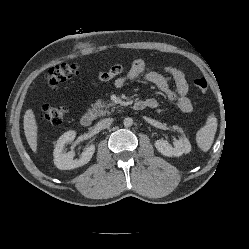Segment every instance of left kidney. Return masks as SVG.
<instances>
[{
    "instance_id": "left-kidney-1",
    "label": "left kidney",
    "mask_w": 249,
    "mask_h": 249,
    "mask_svg": "<svg viewBox=\"0 0 249 249\" xmlns=\"http://www.w3.org/2000/svg\"><path fill=\"white\" fill-rule=\"evenodd\" d=\"M173 129L178 130L180 128L177 126H173ZM154 145L162 155L167 157H179L182 154H187L191 151V144L185 136H183L179 140H175L173 142V146L165 140H156Z\"/></svg>"
}]
</instances>
